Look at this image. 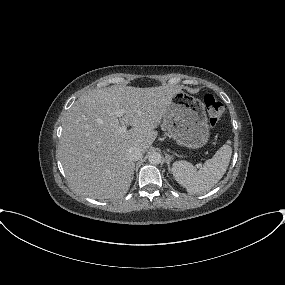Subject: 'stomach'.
Wrapping results in <instances>:
<instances>
[{"label":"stomach","mask_w":285,"mask_h":285,"mask_svg":"<svg viewBox=\"0 0 285 285\" xmlns=\"http://www.w3.org/2000/svg\"><path fill=\"white\" fill-rule=\"evenodd\" d=\"M163 124L180 145L195 149L208 142L209 125L204 104L183 91L171 99Z\"/></svg>","instance_id":"obj_1"}]
</instances>
